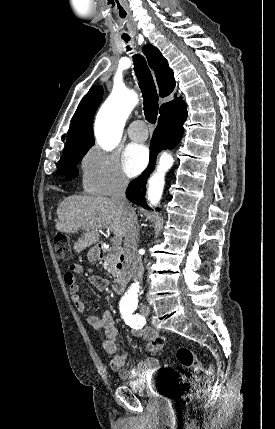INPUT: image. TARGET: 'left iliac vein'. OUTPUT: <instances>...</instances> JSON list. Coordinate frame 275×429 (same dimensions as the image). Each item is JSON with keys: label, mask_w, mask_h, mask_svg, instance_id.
I'll list each match as a JSON object with an SVG mask.
<instances>
[{"label": "left iliac vein", "mask_w": 275, "mask_h": 429, "mask_svg": "<svg viewBox=\"0 0 275 429\" xmlns=\"http://www.w3.org/2000/svg\"><path fill=\"white\" fill-rule=\"evenodd\" d=\"M149 312H150V310H149V307H148V306L143 305V306L141 307V313H142V315L147 316V315L149 314Z\"/></svg>", "instance_id": "4c4485c4"}]
</instances>
